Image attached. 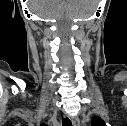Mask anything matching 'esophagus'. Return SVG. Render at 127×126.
Returning a JSON list of instances; mask_svg holds the SVG:
<instances>
[{
	"mask_svg": "<svg viewBox=\"0 0 127 126\" xmlns=\"http://www.w3.org/2000/svg\"><path fill=\"white\" fill-rule=\"evenodd\" d=\"M70 119H71L73 126H79L80 125V120L78 117L72 116Z\"/></svg>",
	"mask_w": 127,
	"mask_h": 126,
	"instance_id": "esophagus-1",
	"label": "esophagus"
}]
</instances>
